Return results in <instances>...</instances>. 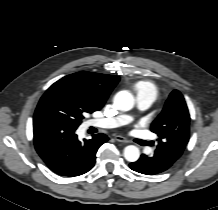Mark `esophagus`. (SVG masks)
<instances>
[{"label": "esophagus", "instance_id": "1", "mask_svg": "<svg viewBox=\"0 0 218 210\" xmlns=\"http://www.w3.org/2000/svg\"><path fill=\"white\" fill-rule=\"evenodd\" d=\"M115 140L121 143H128V140L125 137L120 136V135L115 136Z\"/></svg>", "mask_w": 218, "mask_h": 210}]
</instances>
